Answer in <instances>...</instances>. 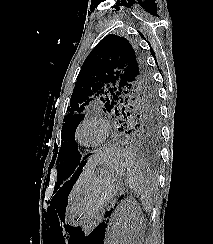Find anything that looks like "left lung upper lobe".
Instances as JSON below:
<instances>
[{"label": "left lung upper lobe", "instance_id": "5c2ea615", "mask_svg": "<svg viewBox=\"0 0 213 244\" xmlns=\"http://www.w3.org/2000/svg\"><path fill=\"white\" fill-rule=\"evenodd\" d=\"M94 100H100L104 112L138 134L158 135L160 115L152 74L127 39L109 34L87 56L75 82L56 161L60 183L71 175L80 154L75 131L85 107Z\"/></svg>", "mask_w": 213, "mask_h": 244}]
</instances>
